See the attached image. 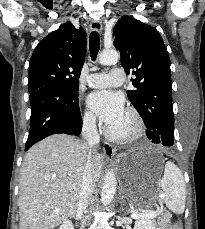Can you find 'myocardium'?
Returning <instances> with one entry per match:
<instances>
[{"mask_svg": "<svg viewBox=\"0 0 205 229\" xmlns=\"http://www.w3.org/2000/svg\"><path fill=\"white\" fill-rule=\"evenodd\" d=\"M125 113L132 119V129L126 134H116L109 127H106L105 135L108 139L114 142L128 143L138 139L142 135L143 120L139 112L135 108L129 107Z\"/></svg>", "mask_w": 205, "mask_h": 229, "instance_id": "obj_1", "label": "myocardium"}]
</instances>
